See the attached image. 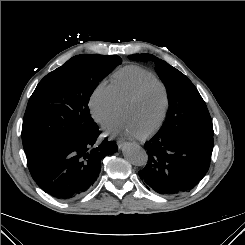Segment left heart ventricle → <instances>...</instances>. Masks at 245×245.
Returning <instances> with one entry per match:
<instances>
[{"label": "left heart ventricle", "mask_w": 245, "mask_h": 245, "mask_svg": "<svg viewBox=\"0 0 245 245\" xmlns=\"http://www.w3.org/2000/svg\"><path fill=\"white\" fill-rule=\"evenodd\" d=\"M164 106L162 89L149 85L134 101L124 104L121 115L139 134L149 130L160 118Z\"/></svg>", "instance_id": "b2bd125f"}]
</instances>
